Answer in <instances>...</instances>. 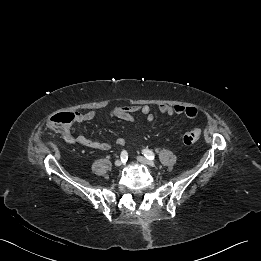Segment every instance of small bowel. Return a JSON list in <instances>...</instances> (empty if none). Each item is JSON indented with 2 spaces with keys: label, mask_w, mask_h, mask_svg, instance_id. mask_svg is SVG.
I'll use <instances>...</instances> for the list:
<instances>
[{
  "label": "small bowel",
  "mask_w": 261,
  "mask_h": 261,
  "mask_svg": "<svg viewBox=\"0 0 261 261\" xmlns=\"http://www.w3.org/2000/svg\"><path fill=\"white\" fill-rule=\"evenodd\" d=\"M159 111L163 115L172 116V115H184L189 119H194L198 115V110L193 106H183V105H161ZM135 113H140L143 118L151 122L154 119V115L151 112V108L148 105H128L114 108L108 112L109 117L118 118L130 123H135ZM75 121L74 123L81 124L85 122L92 121L96 117L94 111H89L85 113L75 112ZM61 136L63 140L68 143H77L82 146L105 151L110 148V145L107 142L92 140L84 135L74 136L71 130V126H67L62 129ZM128 142L127 139L119 137L115 140L117 146H124Z\"/></svg>",
  "instance_id": "obj_1"
}]
</instances>
